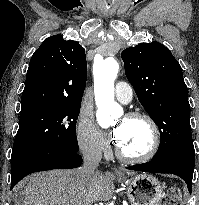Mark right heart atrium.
Masks as SVG:
<instances>
[{"label":"right heart atrium","instance_id":"1","mask_svg":"<svg viewBox=\"0 0 199 205\" xmlns=\"http://www.w3.org/2000/svg\"><path fill=\"white\" fill-rule=\"evenodd\" d=\"M76 138L80 150L88 157L99 158L106 151L104 137L88 113H81L79 117Z\"/></svg>","mask_w":199,"mask_h":205}]
</instances>
